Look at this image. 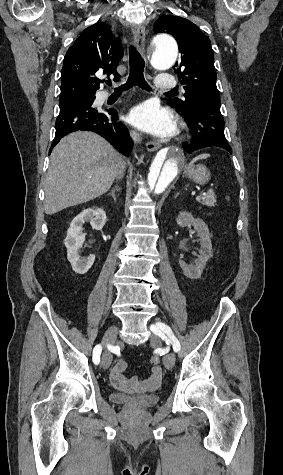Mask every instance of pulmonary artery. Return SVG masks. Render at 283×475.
Instances as JSON below:
<instances>
[{"label":"pulmonary artery","mask_w":283,"mask_h":475,"mask_svg":"<svg viewBox=\"0 0 283 475\" xmlns=\"http://www.w3.org/2000/svg\"><path fill=\"white\" fill-rule=\"evenodd\" d=\"M155 89H175V80H155L153 83Z\"/></svg>","instance_id":"e3ab8cb5"}]
</instances>
